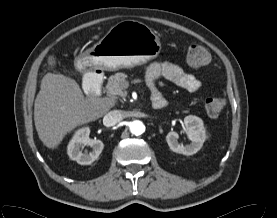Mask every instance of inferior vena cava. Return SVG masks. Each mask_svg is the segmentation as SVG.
<instances>
[{
	"label": "inferior vena cava",
	"instance_id": "obj_1",
	"mask_svg": "<svg viewBox=\"0 0 277 218\" xmlns=\"http://www.w3.org/2000/svg\"><path fill=\"white\" fill-rule=\"evenodd\" d=\"M123 119V115L120 110H112L108 112L103 118V124L107 127L113 126Z\"/></svg>",
	"mask_w": 277,
	"mask_h": 218
}]
</instances>
